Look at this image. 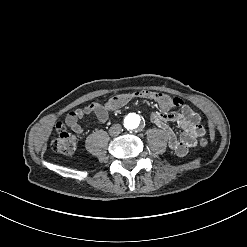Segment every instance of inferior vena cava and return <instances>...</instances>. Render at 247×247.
<instances>
[{
	"mask_svg": "<svg viewBox=\"0 0 247 247\" xmlns=\"http://www.w3.org/2000/svg\"><path fill=\"white\" fill-rule=\"evenodd\" d=\"M120 131H121V125L120 124H114L110 127L109 134L111 136H116L120 133Z\"/></svg>",
	"mask_w": 247,
	"mask_h": 247,
	"instance_id": "inferior-vena-cava-1",
	"label": "inferior vena cava"
}]
</instances>
